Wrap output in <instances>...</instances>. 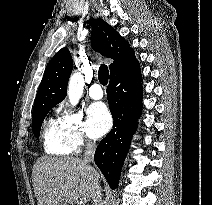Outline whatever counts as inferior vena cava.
<instances>
[{
    "instance_id": "obj_1",
    "label": "inferior vena cava",
    "mask_w": 212,
    "mask_h": 205,
    "mask_svg": "<svg viewBox=\"0 0 212 205\" xmlns=\"http://www.w3.org/2000/svg\"><path fill=\"white\" fill-rule=\"evenodd\" d=\"M95 150H96V143L91 140H86V150L83 161L86 163L93 162ZM93 205H103L102 194L100 187L98 185V180L96 181V192L93 198Z\"/></svg>"
}]
</instances>
